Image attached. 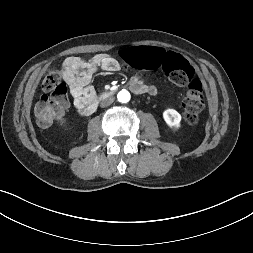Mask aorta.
I'll list each match as a JSON object with an SVG mask.
<instances>
[{"instance_id": "obj_1", "label": "aorta", "mask_w": 253, "mask_h": 253, "mask_svg": "<svg viewBox=\"0 0 253 253\" xmlns=\"http://www.w3.org/2000/svg\"><path fill=\"white\" fill-rule=\"evenodd\" d=\"M118 101L121 103H127L130 100V93L127 90H121L117 95Z\"/></svg>"}]
</instances>
